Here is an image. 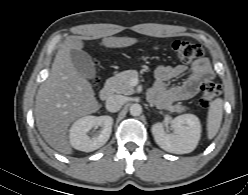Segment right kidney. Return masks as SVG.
Wrapping results in <instances>:
<instances>
[{"label":"right kidney","mask_w":248,"mask_h":195,"mask_svg":"<svg viewBox=\"0 0 248 195\" xmlns=\"http://www.w3.org/2000/svg\"><path fill=\"white\" fill-rule=\"evenodd\" d=\"M113 119L110 116H84L76 120L69 130V140L73 148L92 152L102 147L112 132ZM100 127V131L93 137L88 135L92 128Z\"/></svg>","instance_id":"obj_1"}]
</instances>
